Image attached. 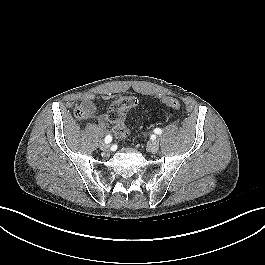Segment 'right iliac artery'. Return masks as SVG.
Returning a JSON list of instances; mask_svg holds the SVG:
<instances>
[{
	"instance_id": "82829eb1",
	"label": "right iliac artery",
	"mask_w": 265,
	"mask_h": 265,
	"mask_svg": "<svg viewBox=\"0 0 265 265\" xmlns=\"http://www.w3.org/2000/svg\"><path fill=\"white\" fill-rule=\"evenodd\" d=\"M112 141V136L111 135H107L105 138V143H110Z\"/></svg>"
}]
</instances>
